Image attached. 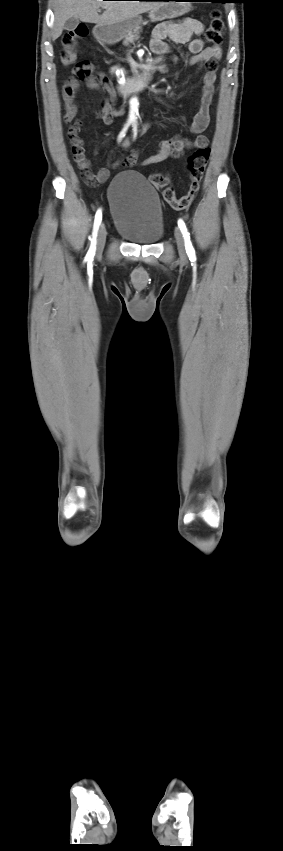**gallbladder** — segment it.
I'll return each mask as SVG.
<instances>
[{"mask_svg":"<svg viewBox=\"0 0 283 851\" xmlns=\"http://www.w3.org/2000/svg\"><path fill=\"white\" fill-rule=\"evenodd\" d=\"M79 22L80 21H79L78 18L71 17L65 22L64 29L68 30V31H72L78 26Z\"/></svg>","mask_w":283,"mask_h":851,"instance_id":"1","label":"gallbladder"}]
</instances>
